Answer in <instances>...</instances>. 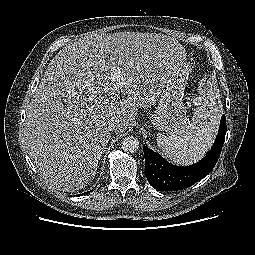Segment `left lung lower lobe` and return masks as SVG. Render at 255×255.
Segmentation results:
<instances>
[{"label": "left lung lower lobe", "mask_w": 255, "mask_h": 255, "mask_svg": "<svg viewBox=\"0 0 255 255\" xmlns=\"http://www.w3.org/2000/svg\"><path fill=\"white\" fill-rule=\"evenodd\" d=\"M226 134V117H221L216 140L208 154L190 166H176L160 154L144 147L145 175L153 188L159 191H176L188 188L204 178L216 165Z\"/></svg>", "instance_id": "0a47b994"}]
</instances>
